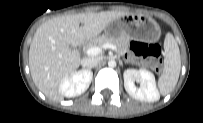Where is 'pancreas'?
<instances>
[{
	"label": "pancreas",
	"instance_id": "cf45deb5",
	"mask_svg": "<svg viewBox=\"0 0 203 123\" xmlns=\"http://www.w3.org/2000/svg\"><path fill=\"white\" fill-rule=\"evenodd\" d=\"M104 43L114 44L117 47L118 51L122 53L126 51L128 46V41L124 36L110 37L109 35L103 34L93 41V45L95 46H101Z\"/></svg>",
	"mask_w": 203,
	"mask_h": 123
}]
</instances>
